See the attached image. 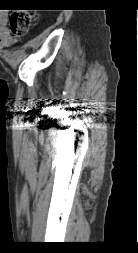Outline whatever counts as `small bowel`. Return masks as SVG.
I'll return each instance as SVG.
<instances>
[{
  "instance_id": "small-bowel-1",
  "label": "small bowel",
  "mask_w": 138,
  "mask_h": 253,
  "mask_svg": "<svg viewBox=\"0 0 138 253\" xmlns=\"http://www.w3.org/2000/svg\"><path fill=\"white\" fill-rule=\"evenodd\" d=\"M13 42V37L7 27V16L0 14V49L6 48Z\"/></svg>"
}]
</instances>
